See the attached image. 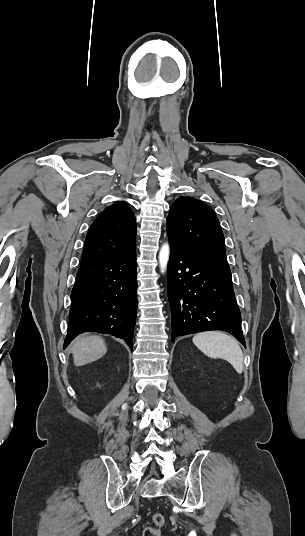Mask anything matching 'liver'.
Masks as SVG:
<instances>
[{
	"instance_id": "6515ba94",
	"label": "liver",
	"mask_w": 305,
	"mask_h": 536,
	"mask_svg": "<svg viewBox=\"0 0 305 536\" xmlns=\"http://www.w3.org/2000/svg\"><path fill=\"white\" fill-rule=\"evenodd\" d=\"M71 352L75 366H85L105 356L107 348L104 340L99 336H87V338H77Z\"/></svg>"
}]
</instances>
